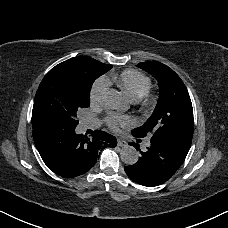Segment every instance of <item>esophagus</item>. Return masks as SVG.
Returning <instances> with one entry per match:
<instances>
[{"label": "esophagus", "instance_id": "1", "mask_svg": "<svg viewBox=\"0 0 228 228\" xmlns=\"http://www.w3.org/2000/svg\"><path fill=\"white\" fill-rule=\"evenodd\" d=\"M117 145H118L119 147H126V146L128 145V143H127L125 140L119 138V139L117 140Z\"/></svg>", "mask_w": 228, "mask_h": 228}]
</instances>
